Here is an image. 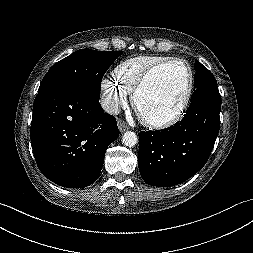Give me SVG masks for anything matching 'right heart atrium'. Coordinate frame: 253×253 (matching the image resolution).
Returning <instances> with one entry per match:
<instances>
[{"label": "right heart atrium", "mask_w": 253, "mask_h": 253, "mask_svg": "<svg viewBox=\"0 0 253 253\" xmlns=\"http://www.w3.org/2000/svg\"><path fill=\"white\" fill-rule=\"evenodd\" d=\"M101 92L104 107L110 113H116L120 107L128 102L127 93L108 78L102 79Z\"/></svg>", "instance_id": "d8ad5b80"}]
</instances>
